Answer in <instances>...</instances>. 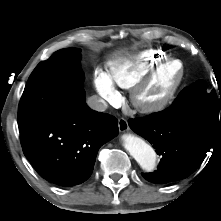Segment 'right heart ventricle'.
Segmentation results:
<instances>
[{"label":"right heart ventricle","instance_id":"1","mask_svg":"<svg viewBox=\"0 0 221 221\" xmlns=\"http://www.w3.org/2000/svg\"><path fill=\"white\" fill-rule=\"evenodd\" d=\"M165 59H167V55L161 51L145 50L132 59L110 62L108 64L109 76L114 84L130 89L156 64Z\"/></svg>","mask_w":221,"mask_h":221}]
</instances>
